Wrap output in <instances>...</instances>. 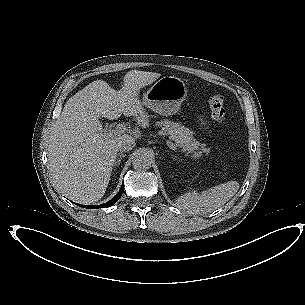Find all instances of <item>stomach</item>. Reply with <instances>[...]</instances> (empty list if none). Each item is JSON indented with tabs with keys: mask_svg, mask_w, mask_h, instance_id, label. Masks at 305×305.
<instances>
[{
	"mask_svg": "<svg viewBox=\"0 0 305 305\" xmlns=\"http://www.w3.org/2000/svg\"><path fill=\"white\" fill-rule=\"evenodd\" d=\"M186 83L175 76H163L143 95V104L153 111L169 116L178 112L187 99Z\"/></svg>",
	"mask_w": 305,
	"mask_h": 305,
	"instance_id": "stomach-1",
	"label": "stomach"
}]
</instances>
